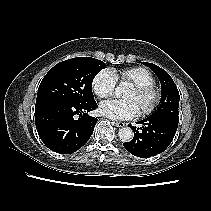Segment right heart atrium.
I'll list each match as a JSON object with an SVG mask.
<instances>
[{
  "instance_id": "1",
  "label": "right heart atrium",
  "mask_w": 211,
  "mask_h": 211,
  "mask_svg": "<svg viewBox=\"0 0 211 211\" xmlns=\"http://www.w3.org/2000/svg\"><path fill=\"white\" fill-rule=\"evenodd\" d=\"M91 86L93 93L98 98H109L114 93L116 78L111 70L103 69L94 76Z\"/></svg>"
}]
</instances>
